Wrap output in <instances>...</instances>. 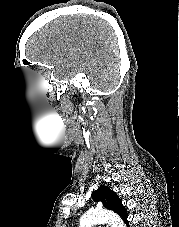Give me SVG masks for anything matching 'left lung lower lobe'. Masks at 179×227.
Masks as SVG:
<instances>
[{
  "label": "left lung lower lobe",
  "mask_w": 179,
  "mask_h": 227,
  "mask_svg": "<svg viewBox=\"0 0 179 227\" xmlns=\"http://www.w3.org/2000/svg\"><path fill=\"white\" fill-rule=\"evenodd\" d=\"M126 225H127V227H130V225H129V223H128V222L126 223Z\"/></svg>",
  "instance_id": "obj_1"
}]
</instances>
